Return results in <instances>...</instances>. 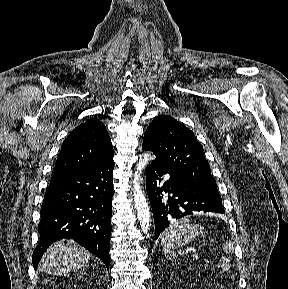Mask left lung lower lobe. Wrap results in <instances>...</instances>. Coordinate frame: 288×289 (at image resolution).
Segmentation results:
<instances>
[{
    "label": "left lung lower lobe",
    "instance_id": "obj_1",
    "mask_svg": "<svg viewBox=\"0 0 288 289\" xmlns=\"http://www.w3.org/2000/svg\"><path fill=\"white\" fill-rule=\"evenodd\" d=\"M163 174H169L170 179L160 187ZM146 189L152 207L156 238L173 221L193 212H225L219 193L188 183L170 174L155 161H152L146 173ZM162 192L171 195L165 198Z\"/></svg>",
    "mask_w": 288,
    "mask_h": 289
}]
</instances>
